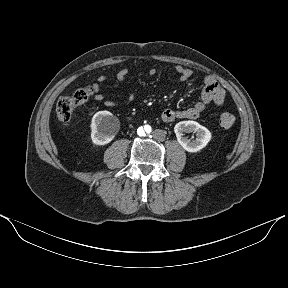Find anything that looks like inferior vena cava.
I'll return each instance as SVG.
<instances>
[{"label": "inferior vena cava", "mask_w": 288, "mask_h": 288, "mask_svg": "<svg viewBox=\"0 0 288 288\" xmlns=\"http://www.w3.org/2000/svg\"><path fill=\"white\" fill-rule=\"evenodd\" d=\"M151 138L155 142H162L166 138V133L162 129H155L151 133Z\"/></svg>", "instance_id": "1"}]
</instances>
